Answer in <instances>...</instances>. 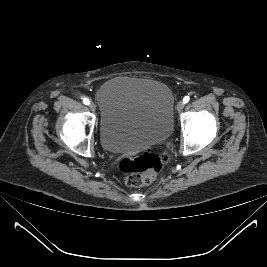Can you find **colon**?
I'll return each instance as SVG.
<instances>
[{
    "label": "colon",
    "instance_id": "5ec220e1",
    "mask_svg": "<svg viewBox=\"0 0 267 267\" xmlns=\"http://www.w3.org/2000/svg\"><path fill=\"white\" fill-rule=\"evenodd\" d=\"M166 161L165 153L146 151L137 157L123 158L119 162L118 168L127 185L139 187L152 183Z\"/></svg>",
    "mask_w": 267,
    "mask_h": 267
}]
</instances>
